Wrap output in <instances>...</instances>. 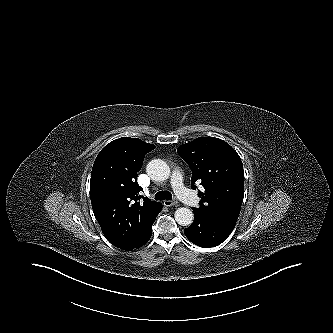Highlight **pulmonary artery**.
<instances>
[{"mask_svg":"<svg viewBox=\"0 0 333 333\" xmlns=\"http://www.w3.org/2000/svg\"><path fill=\"white\" fill-rule=\"evenodd\" d=\"M171 185L175 190L177 197L185 204L193 207L199 205V198L185 187L180 172H173L171 177Z\"/></svg>","mask_w":333,"mask_h":333,"instance_id":"e3ab8cb5","label":"pulmonary artery"}]
</instances>
